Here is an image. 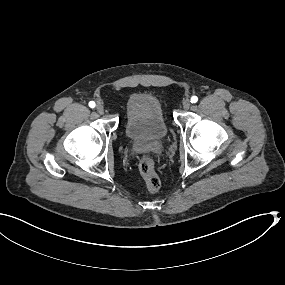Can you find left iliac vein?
Returning <instances> with one entry per match:
<instances>
[{"instance_id":"left-iliac-vein-1","label":"left iliac vein","mask_w":285,"mask_h":285,"mask_svg":"<svg viewBox=\"0 0 285 285\" xmlns=\"http://www.w3.org/2000/svg\"><path fill=\"white\" fill-rule=\"evenodd\" d=\"M182 106H183V108L186 109V110L189 109L190 106H191L190 100H189V99H185V100L183 101V103H182Z\"/></svg>"}]
</instances>
